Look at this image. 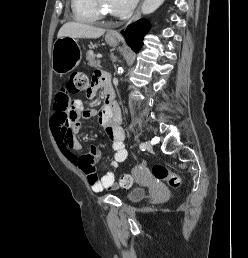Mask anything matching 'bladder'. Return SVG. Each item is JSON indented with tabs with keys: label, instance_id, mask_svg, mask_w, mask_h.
I'll return each instance as SVG.
<instances>
[{
	"label": "bladder",
	"instance_id": "obj_1",
	"mask_svg": "<svg viewBox=\"0 0 248 258\" xmlns=\"http://www.w3.org/2000/svg\"><path fill=\"white\" fill-rule=\"evenodd\" d=\"M146 195L147 192L145 189L133 188L127 193L126 197L127 200L130 202H138L143 200L146 197Z\"/></svg>",
	"mask_w": 248,
	"mask_h": 258
}]
</instances>
